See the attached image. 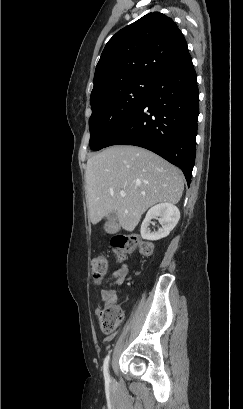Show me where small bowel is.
<instances>
[{"mask_svg": "<svg viewBox=\"0 0 243 409\" xmlns=\"http://www.w3.org/2000/svg\"><path fill=\"white\" fill-rule=\"evenodd\" d=\"M129 273V268L127 264H122L117 270L111 273V275L104 282L106 289L101 290L100 292V301H115L120 295V290L110 289L116 285H122L125 282V279ZM114 334L105 337V342H108Z\"/></svg>", "mask_w": 243, "mask_h": 409, "instance_id": "c3829d8e", "label": "small bowel"}]
</instances>
